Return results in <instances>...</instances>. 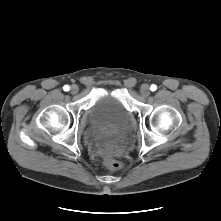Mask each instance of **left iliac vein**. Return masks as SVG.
Returning a JSON list of instances; mask_svg holds the SVG:
<instances>
[{"instance_id":"4c4485c4","label":"left iliac vein","mask_w":221,"mask_h":221,"mask_svg":"<svg viewBox=\"0 0 221 221\" xmlns=\"http://www.w3.org/2000/svg\"><path fill=\"white\" fill-rule=\"evenodd\" d=\"M140 93L143 97H148L150 95V88L147 84H143L140 88Z\"/></svg>"}]
</instances>
